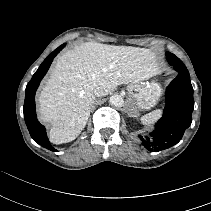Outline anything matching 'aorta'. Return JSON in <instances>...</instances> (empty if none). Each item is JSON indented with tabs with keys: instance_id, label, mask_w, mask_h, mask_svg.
Returning a JSON list of instances; mask_svg holds the SVG:
<instances>
[{
	"instance_id": "obj_1",
	"label": "aorta",
	"mask_w": 211,
	"mask_h": 211,
	"mask_svg": "<svg viewBox=\"0 0 211 211\" xmlns=\"http://www.w3.org/2000/svg\"><path fill=\"white\" fill-rule=\"evenodd\" d=\"M109 102L112 106H115V107H121L124 104L123 97L118 94L112 95L110 97Z\"/></svg>"
}]
</instances>
